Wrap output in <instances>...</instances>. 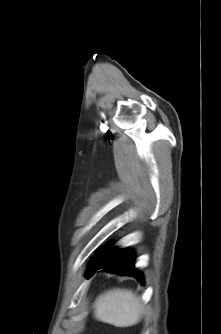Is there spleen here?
<instances>
[{
	"mask_svg": "<svg viewBox=\"0 0 221 334\" xmlns=\"http://www.w3.org/2000/svg\"><path fill=\"white\" fill-rule=\"evenodd\" d=\"M97 320L116 327H129L137 324L144 307L140 299L130 290L112 289L101 294L95 301Z\"/></svg>",
	"mask_w": 221,
	"mask_h": 334,
	"instance_id": "1",
	"label": "spleen"
}]
</instances>
